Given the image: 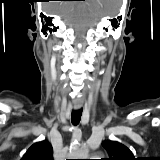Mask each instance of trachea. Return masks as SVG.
<instances>
[{
    "mask_svg": "<svg viewBox=\"0 0 160 160\" xmlns=\"http://www.w3.org/2000/svg\"><path fill=\"white\" fill-rule=\"evenodd\" d=\"M81 116H82V109H78V110H73L72 111V123L73 125H78L80 120H81Z\"/></svg>",
    "mask_w": 160,
    "mask_h": 160,
    "instance_id": "obj_1",
    "label": "trachea"
}]
</instances>
